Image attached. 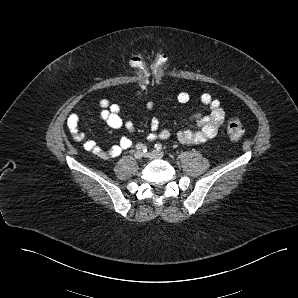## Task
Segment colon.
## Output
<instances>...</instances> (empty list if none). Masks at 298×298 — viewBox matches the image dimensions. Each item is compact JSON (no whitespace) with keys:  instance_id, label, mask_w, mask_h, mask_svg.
<instances>
[{"instance_id":"5ec220e1","label":"colon","mask_w":298,"mask_h":298,"mask_svg":"<svg viewBox=\"0 0 298 298\" xmlns=\"http://www.w3.org/2000/svg\"><path fill=\"white\" fill-rule=\"evenodd\" d=\"M133 68L138 72L139 89L145 90L150 79L161 81L166 64V55L163 52H155L151 61L144 54H136L131 58ZM245 133V129L240 120L233 118L227 123V134L232 141H239Z\"/></svg>"}]
</instances>
